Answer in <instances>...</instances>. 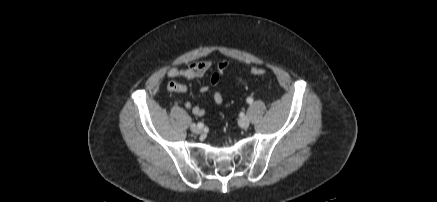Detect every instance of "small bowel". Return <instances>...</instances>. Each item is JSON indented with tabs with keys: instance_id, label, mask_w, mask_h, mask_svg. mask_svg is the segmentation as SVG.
Segmentation results:
<instances>
[{
	"instance_id": "small-bowel-1",
	"label": "small bowel",
	"mask_w": 437,
	"mask_h": 202,
	"mask_svg": "<svg viewBox=\"0 0 437 202\" xmlns=\"http://www.w3.org/2000/svg\"><path fill=\"white\" fill-rule=\"evenodd\" d=\"M229 63L226 60H222L217 63L215 70L212 72L209 78V82L212 86L217 85L220 79V75L223 71L228 67ZM213 66L212 61L204 60L199 62L190 63L187 67L178 68L172 67L169 68L166 72L167 77L173 79L167 84V90L174 93H186L188 91V87L185 84L179 83L174 79L184 78L187 80H194L204 76ZM208 85L200 86L199 90L202 93H206L209 91ZM212 99L216 104H222L225 96L220 91H215L212 94ZM184 109L191 112L196 116H203L205 114V109L199 106L193 105L190 102H182Z\"/></svg>"
}]
</instances>
